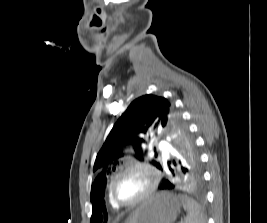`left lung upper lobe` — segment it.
I'll list each match as a JSON object with an SVG mask.
<instances>
[{"label":"left lung upper lobe","mask_w":267,"mask_h":223,"mask_svg":"<svg viewBox=\"0 0 267 223\" xmlns=\"http://www.w3.org/2000/svg\"><path fill=\"white\" fill-rule=\"evenodd\" d=\"M155 129H161L169 136L172 145L178 151V157L166 163L152 160L150 163L153 166L160 170L168 167L170 171H174L172 169L174 165L180 171H202L194 139L173 104L164 97L152 94L139 97L128 106L114 124L97 154L93 168V171L97 172V177L92 184L88 199V204H92L93 220L94 217L103 219L106 216L105 211H108V206H105L103 197L107 179L124 157L125 149L132 146L136 157L143 161L142 146L150 141V136L148 138L145 136Z\"/></svg>","instance_id":"1"}]
</instances>
